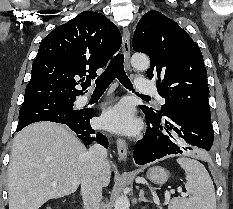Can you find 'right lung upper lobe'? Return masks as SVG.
<instances>
[{
    "instance_id": "cb5924a9",
    "label": "right lung upper lobe",
    "mask_w": 233,
    "mask_h": 209,
    "mask_svg": "<svg viewBox=\"0 0 233 209\" xmlns=\"http://www.w3.org/2000/svg\"><path fill=\"white\" fill-rule=\"evenodd\" d=\"M121 43L119 29L101 13L84 11L58 26L40 44L24 103L82 95Z\"/></svg>"
}]
</instances>
